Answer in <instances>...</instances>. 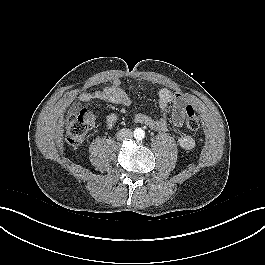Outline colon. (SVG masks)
I'll list each match as a JSON object with an SVG mask.
<instances>
[{"label": "colon", "instance_id": "1", "mask_svg": "<svg viewBox=\"0 0 265 265\" xmlns=\"http://www.w3.org/2000/svg\"><path fill=\"white\" fill-rule=\"evenodd\" d=\"M95 124V115L89 109H82L70 115L66 120V140L73 146L82 143L85 135ZM185 125L190 131H197L200 127L199 116L191 105L185 108Z\"/></svg>", "mask_w": 265, "mask_h": 265}]
</instances>
